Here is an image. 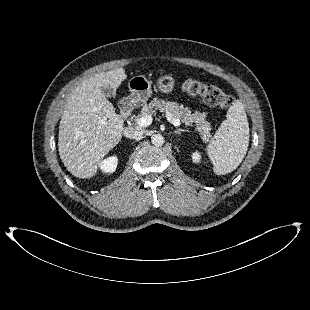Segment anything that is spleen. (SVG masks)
Instances as JSON below:
<instances>
[{"label":"spleen","mask_w":310,"mask_h":310,"mask_svg":"<svg viewBox=\"0 0 310 310\" xmlns=\"http://www.w3.org/2000/svg\"><path fill=\"white\" fill-rule=\"evenodd\" d=\"M226 117L206 146L217 175L234 171L245 157L249 145V124L243 103L240 100L233 102Z\"/></svg>","instance_id":"3e777b00"}]
</instances>
